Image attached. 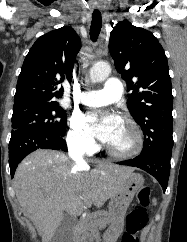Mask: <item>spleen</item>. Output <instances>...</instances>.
Segmentation results:
<instances>
[{
    "label": "spleen",
    "instance_id": "1",
    "mask_svg": "<svg viewBox=\"0 0 187 242\" xmlns=\"http://www.w3.org/2000/svg\"><path fill=\"white\" fill-rule=\"evenodd\" d=\"M154 205L156 204V200H153Z\"/></svg>",
    "mask_w": 187,
    "mask_h": 242
}]
</instances>
